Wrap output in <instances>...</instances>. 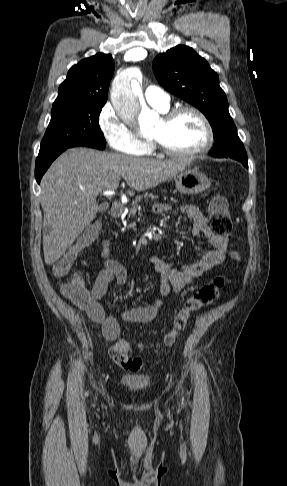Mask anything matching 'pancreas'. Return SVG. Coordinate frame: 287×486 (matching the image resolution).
<instances>
[{"instance_id": "obj_1", "label": "pancreas", "mask_w": 287, "mask_h": 486, "mask_svg": "<svg viewBox=\"0 0 287 486\" xmlns=\"http://www.w3.org/2000/svg\"><path fill=\"white\" fill-rule=\"evenodd\" d=\"M142 198H145V199L151 198V200H154V199H157L158 197L154 196L152 193H150V194L145 193L144 196L136 197L135 200L132 202V207L129 210L128 218L134 217L136 215L137 208H138V202H140L142 200Z\"/></svg>"}]
</instances>
